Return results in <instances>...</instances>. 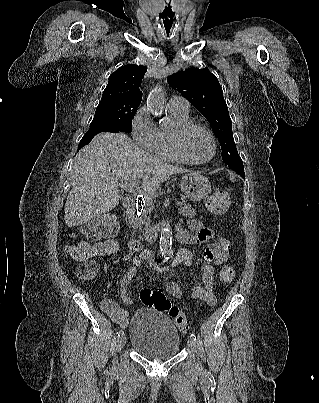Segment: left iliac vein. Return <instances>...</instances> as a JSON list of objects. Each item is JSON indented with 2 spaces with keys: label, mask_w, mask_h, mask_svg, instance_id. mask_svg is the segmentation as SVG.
Here are the masks:
<instances>
[{
  "label": "left iliac vein",
  "mask_w": 319,
  "mask_h": 403,
  "mask_svg": "<svg viewBox=\"0 0 319 403\" xmlns=\"http://www.w3.org/2000/svg\"><path fill=\"white\" fill-rule=\"evenodd\" d=\"M188 346L193 352H196L198 349L196 341L191 337L188 339Z\"/></svg>",
  "instance_id": "left-iliac-vein-1"
}]
</instances>
